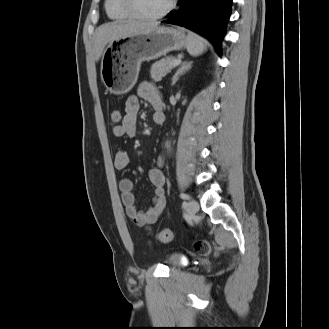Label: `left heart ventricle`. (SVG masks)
I'll use <instances>...</instances> for the list:
<instances>
[{
    "label": "left heart ventricle",
    "mask_w": 329,
    "mask_h": 329,
    "mask_svg": "<svg viewBox=\"0 0 329 329\" xmlns=\"http://www.w3.org/2000/svg\"><path fill=\"white\" fill-rule=\"evenodd\" d=\"M137 9L144 15L152 16L163 11L169 0H134Z\"/></svg>",
    "instance_id": "b2bd125f"
}]
</instances>
